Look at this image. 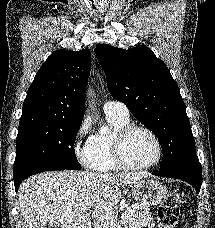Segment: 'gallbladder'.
Returning a JSON list of instances; mask_svg holds the SVG:
<instances>
[{
  "mask_svg": "<svg viewBox=\"0 0 215 228\" xmlns=\"http://www.w3.org/2000/svg\"><path fill=\"white\" fill-rule=\"evenodd\" d=\"M41 228H50V226H47V224H45V226H41Z\"/></svg>",
  "mask_w": 215,
  "mask_h": 228,
  "instance_id": "bac80fb5",
  "label": "gallbladder"
}]
</instances>
